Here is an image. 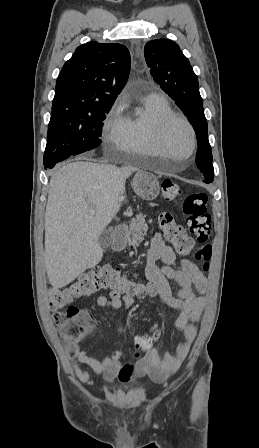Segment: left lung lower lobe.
I'll return each instance as SVG.
<instances>
[{
  "mask_svg": "<svg viewBox=\"0 0 259 448\" xmlns=\"http://www.w3.org/2000/svg\"><path fill=\"white\" fill-rule=\"evenodd\" d=\"M198 168L200 169V171L204 174L205 176V182L209 183L212 182L214 179V170H213V166H212V160H204V161H200L197 164Z\"/></svg>",
  "mask_w": 259,
  "mask_h": 448,
  "instance_id": "1",
  "label": "left lung lower lobe"
}]
</instances>
